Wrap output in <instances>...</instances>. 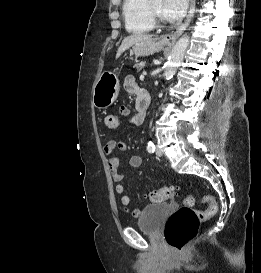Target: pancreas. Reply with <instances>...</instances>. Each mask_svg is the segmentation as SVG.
Segmentation results:
<instances>
[{
    "label": "pancreas",
    "instance_id": "obj_1",
    "mask_svg": "<svg viewBox=\"0 0 261 273\" xmlns=\"http://www.w3.org/2000/svg\"><path fill=\"white\" fill-rule=\"evenodd\" d=\"M134 67L136 68L137 71H140L145 67V62L142 61L140 63H137V64L134 65Z\"/></svg>",
    "mask_w": 261,
    "mask_h": 273
}]
</instances>
